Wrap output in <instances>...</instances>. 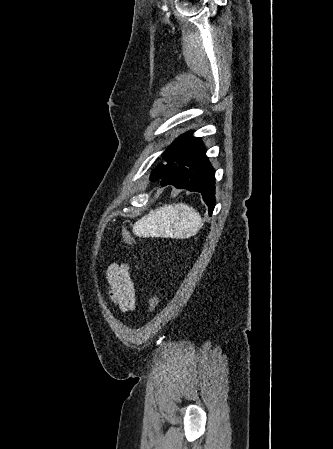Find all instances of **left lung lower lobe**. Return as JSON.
<instances>
[{
    "label": "left lung lower lobe",
    "mask_w": 333,
    "mask_h": 449,
    "mask_svg": "<svg viewBox=\"0 0 333 449\" xmlns=\"http://www.w3.org/2000/svg\"><path fill=\"white\" fill-rule=\"evenodd\" d=\"M168 184L179 189L200 192L208 205L209 214H212L215 206V171L199 138L183 164L161 178V186Z\"/></svg>",
    "instance_id": "left-lung-lower-lobe-1"
}]
</instances>
